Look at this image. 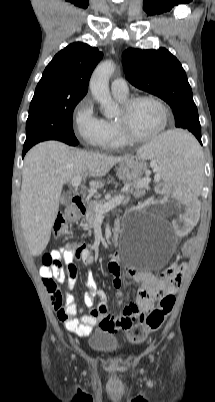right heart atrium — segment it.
Wrapping results in <instances>:
<instances>
[{
    "mask_svg": "<svg viewBox=\"0 0 215 402\" xmlns=\"http://www.w3.org/2000/svg\"><path fill=\"white\" fill-rule=\"evenodd\" d=\"M74 131L87 146L102 147L108 138V127L104 119L98 117L90 98L82 99L75 107Z\"/></svg>",
    "mask_w": 215,
    "mask_h": 402,
    "instance_id": "1",
    "label": "right heart atrium"
}]
</instances>
